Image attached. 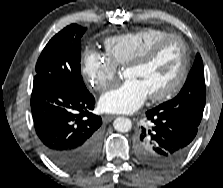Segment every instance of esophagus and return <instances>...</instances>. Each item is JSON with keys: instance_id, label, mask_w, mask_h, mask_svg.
Here are the masks:
<instances>
[{"instance_id": "1", "label": "esophagus", "mask_w": 223, "mask_h": 188, "mask_svg": "<svg viewBox=\"0 0 223 188\" xmlns=\"http://www.w3.org/2000/svg\"><path fill=\"white\" fill-rule=\"evenodd\" d=\"M116 116L115 115H105L103 116V121L108 123L110 121H112Z\"/></svg>"}]
</instances>
